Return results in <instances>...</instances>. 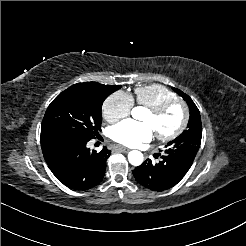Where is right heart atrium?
Segmentation results:
<instances>
[{"label":"right heart atrium","mask_w":246,"mask_h":246,"mask_svg":"<svg viewBox=\"0 0 246 246\" xmlns=\"http://www.w3.org/2000/svg\"><path fill=\"white\" fill-rule=\"evenodd\" d=\"M134 106L133 97L123 90L110 94L102 105V113L105 120L115 123L128 117Z\"/></svg>","instance_id":"right-heart-atrium-1"}]
</instances>
